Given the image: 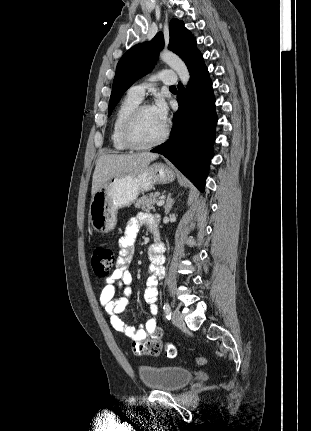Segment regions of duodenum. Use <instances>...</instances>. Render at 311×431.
I'll list each match as a JSON object with an SVG mask.
<instances>
[{"label":"duodenum","mask_w":311,"mask_h":431,"mask_svg":"<svg viewBox=\"0 0 311 431\" xmlns=\"http://www.w3.org/2000/svg\"><path fill=\"white\" fill-rule=\"evenodd\" d=\"M153 235H154V241H155V246H159V244H160V234H159V232H157V231H154L153 232Z\"/></svg>","instance_id":"410a0bca"}]
</instances>
